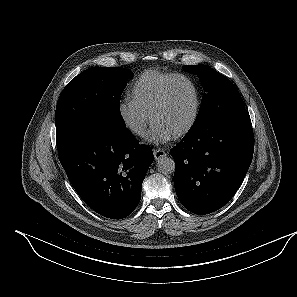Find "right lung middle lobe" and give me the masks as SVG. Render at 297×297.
Returning <instances> with one entry per match:
<instances>
[{"label": "right lung middle lobe", "instance_id": "1", "mask_svg": "<svg viewBox=\"0 0 297 297\" xmlns=\"http://www.w3.org/2000/svg\"><path fill=\"white\" fill-rule=\"evenodd\" d=\"M133 73L122 67H92L73 78L60 95L55 112L58 151L93 125L125 126L119 102Z\"/></svg>", "mask_w": 297, "mask_h": 297}]
</instances>
